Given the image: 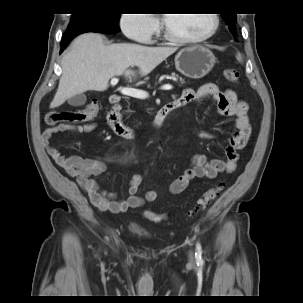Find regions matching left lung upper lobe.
<instances>
[{
	"label": "left lung upper lobe",
	"mask_w": 303,
	"mask_h": 303,
	"mask_svg": "<svg viewBox=\"0 0 303 303\" xmlns=\"http://www.w3.org/2000/svg\"><path fill=\"white\" fill-rule=\"evenodd\" d=\"M226 21L230 31L233 33L234 32V23H235V18L236 14H221Z\"/></svg>",
	"instance_id": "5c2ea615"
}]
</instances>
